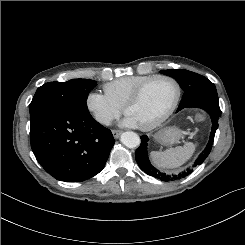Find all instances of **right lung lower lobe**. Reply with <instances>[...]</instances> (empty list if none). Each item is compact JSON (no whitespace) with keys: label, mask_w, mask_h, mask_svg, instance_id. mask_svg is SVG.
<instances>
[{"label":"right lung lower lobe","mask_w":245,"mask_h":245,"mask_svg":"<svg viewBox=\"0 0 245 245\" xmlns=\"http://www.w3.org/2000/svg\"><path fill=\"white\" fill-rule=\"evenodd\" d=\"M32 151L55 179L84 181L105 166L115 143L111 131L89 114L43 109L30 116Z\"/></svg>","instance_id":"right-lung-lower-lobe-1"}]
</instances>
